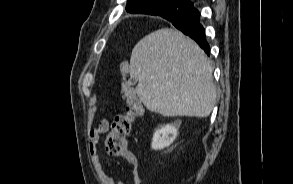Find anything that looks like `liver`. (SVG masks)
I'll return each instance as SVG.
<instances>
[{"label":"liver","instance_id":"liver-1","mask_svg":"<svg viewBox=\"0 0 293 184\" xmlns=\"http://www.w3.org/2000/svg\"><path fill=\"white\" fill-rule=\"evenodd\" d=\"M129 68L149 111L170 117L210 115L216 101L212 65L182 32L162 28L145 36L133 48Z\"/></svg>","mask_w":293,"mask_h":184}]
</instances>
